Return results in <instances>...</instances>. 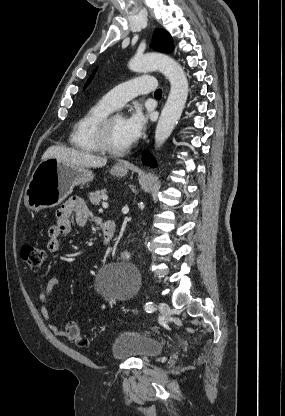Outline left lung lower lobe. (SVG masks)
<instances>
[{
	"label": "left lung lower lobe",
	"instance_id": "0a47b994",
	"mask_svg": "<svg viewBox=\"0 0 285 416\" xmlns=\"http://www.w3.org/2000/svg\"><path fill=\"white\" fill-rule=\"evenodd\" d=\"M142 161H143V163H144L145 165H148V166H151V167H155V162H154V159H153V157H152L150 154H148V153H145V154L143 155Z\"/></svg>",
	"mask_w": 285,
	"mask_h": 416
}]
</instances>
